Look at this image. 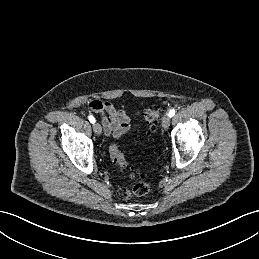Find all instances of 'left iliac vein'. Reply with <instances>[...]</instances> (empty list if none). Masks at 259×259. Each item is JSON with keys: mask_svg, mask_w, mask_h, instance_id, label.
Instances as JSON below:
<instances>
[{"mask_svg": "<svg viewBox=\"0 0 259 259\" xmlns=\"http://www.w3.org/2000/svg\"><path fill=\"white\" fill-rule=\"evenodd\" d=\"M170 122H171V118L169 117V115H165L162 118V127L167 130L170 126Z\"/></svg>", "mask_w": 259, "mask_h": 259, "instance_id": "4c4485c4", "label": "left iliac vein"}]
</instances>
